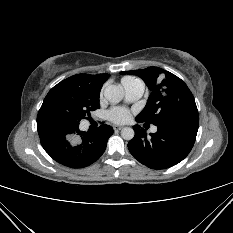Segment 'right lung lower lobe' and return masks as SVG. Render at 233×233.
I'll return each mask as SVG.
<instances>
[{
    "label": "right lung lower lobe",
    "mask_w": 233,
    "mask_h": 233,
    "mask_svg": "<svg viewBox=\"0 0 233 233\" xmlns=\"http://www.w3.org/2000/svg\"><path fill=\"white\" fill-rule=\"evenodd\" d=\"M44 150L58 163L83 168L97 161L104 153L113 128L101 125L94 132L79 130V125L60 127L52 123L38 124Z\"/></svg>",
    "instance_id": "1"
}]
</instances>
